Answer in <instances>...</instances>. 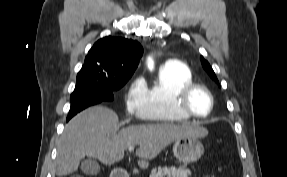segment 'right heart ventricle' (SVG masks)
Masks as SVG:
<instances>
[{
    "mask_svg": "<svg viewBox=\"0 0 287 177\" xmlns=\"http://www.w3.org/2000/svg\"><path fill=\"white\" fill-rule=\"evenodd\" d=\"M193 83L190 69L181 63L161 67L157 81L147 87L143 118L157 123H181L190 116L179 110L177 98L181 90Z\"/></svg>",
    "mask_w": 287,
    "mask_h": 177,
    "instance_id": "1",
    "label": "right heart ventricle"
}]
</instances>
